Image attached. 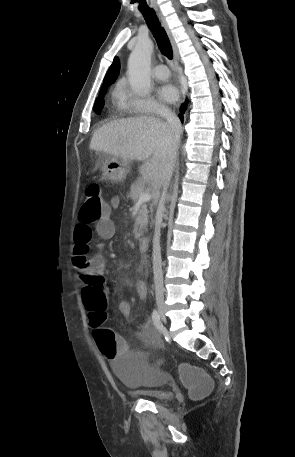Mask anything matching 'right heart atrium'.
<instances>
[{
  "label": "right heart atrium",
  "mask_w": 295,
  "mask_h": 457,
  "mask_svg": "<svg viewBox=\"0 0 295 457\" xmlns=\"http://www.w3.org/2000/svg\"><path fill=\"white\" fill-rule=\"evenodd\" d=\"M128 104L131 111L138 114L164 116L168 114V108L152 96L139 97L128 95Z\"/></svg>",
  "instance_id": "1"
}]
</instances>
